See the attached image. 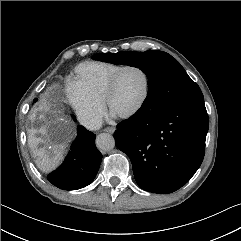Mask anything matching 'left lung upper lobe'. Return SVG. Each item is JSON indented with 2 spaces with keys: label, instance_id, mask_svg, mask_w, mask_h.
<instances>
[{
  "label": "left lung upper lobe",
  "instance_id": "left-lung-upper-lobe-1",
  "mask_svg": "<svg viewBox=\"0 0 241 241\" xmlns=\"http://www.w3.org/2000/svg\"><path fill=\"white\" fill-rule=\"evenodd\" d=\"M94 60L137 67L148 78V93L161 89L169 104L204 99L199 86L184 68L168 53L162 51L104 53Z\"/></svg>",
  "mask_w": 241,
  "mask_h": 241
}]
</instances>
